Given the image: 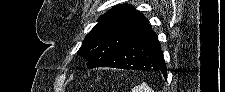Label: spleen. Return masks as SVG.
Here are the masks:
<instances>
[{"instance_id":"spleen-1","label":"spleen","mask_w":225,"mask_h":92,"mask_svg":"<svg viewBox=\"0 0 225 92\" xmlns=\"http://www.w3.org/2000/svg\"><path fill=\"white\" fill-rule=\"evenodd\" d=\"M133 92H153V90L146 83H143L141 86L135 87Z\"/></svg>"}]
</instances>
